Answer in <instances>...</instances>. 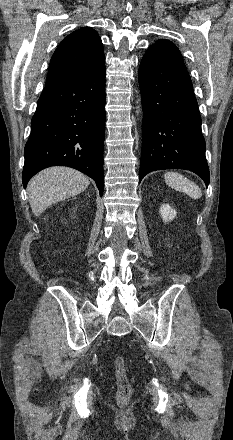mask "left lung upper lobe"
Returning <instances> with one entry per match:
<instances>
[{
	"instance_id": "5c2ea615",
	"label": "left lung upper lobe",
	"mask_w": 233,
	"mask_h": 440,
	"mask_svg": "<svg viewBox=\"0 0 233 440\" xmlns=\"http://www.w3.org/2000/svg\"><path fill=\"white\" fill-rule=\"evenodd\" d=\"M146 53L163 55L165 57L183 62L180 51L172 42L168 40H158L155 45H152L148 48Z\"/></svg>"
}]
</instances>
